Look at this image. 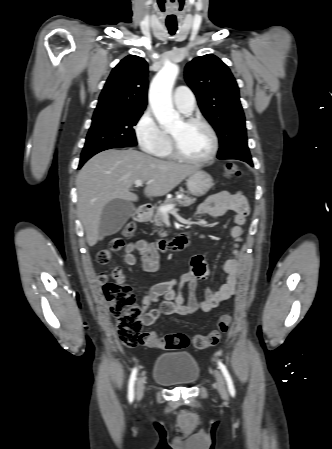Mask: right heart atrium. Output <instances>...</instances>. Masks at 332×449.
Returning <instances> with one entry per match:
<instances>
[{
  "instance_id": "1",
  "label": "right heart atrium",
  "mask_w": 332,
  "mask_h": 449,
  "mask_svg": "<svg viewBox=\"0 0 332 449\" xmlns=\"http://www.w3.org/2000/svg\"><path fill=\"white\" fill-rule=\"evenodd\" d=\"M135 133L141 149L148 154L158 155L169 143V137L159 127L150 110H146L138 119Z\"/></svg>"
}]
</instances>
